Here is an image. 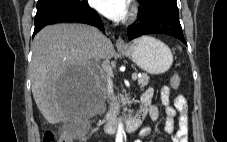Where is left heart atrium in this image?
Returning a JSON list of instances; mask_svg holds the SVG:
<instances>
[{"label":"left heart atrium","mask_w":227,"mask_h":142,"mask_svg":"<svg viewBox=\"0 0 227 142\" xmlns=\"http://www.w3.org/2000/svg\"><path fill=\"white\" fill-rule=\"evenodd\" d=\"M130 0H91L92 6L112 20H123L128 14Z\"/></svg>","instance_id":"obj_1"}]
</instances>
